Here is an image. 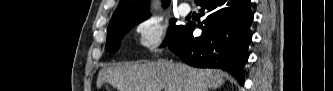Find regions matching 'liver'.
Returning a JSON list of instances; mask_svg holds the SVG:
<instances>
[{
	"mask_svg": "<svg viewBox=\"0 0 333 91\" xmlns=\"http://www.w3.org/2000/svg\"><path fill=\"white\" fill-rule=\"evenodd\" d=\"M106 82L118 91H208L224 83V72L167 60L122 63L99 71L97 88Z\"/></svg>",
	"mask_w": 333,
	"mask_h": 91,
	"instance_id": "liver-1",
	"label": "liver"
}]
</instances>
